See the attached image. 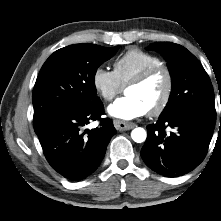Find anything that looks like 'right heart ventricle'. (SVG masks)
<instances>
[{
    "mask_svg": "<svg viewBox=\"0 0 221 221\" xmlns=\"http://www.w3.org/2000/svg\"><path fill=\"white\" fill-rule=\"evenodd\" d=\"M161 64L162 61L156 55L139 48H131L114 61L113 72L124 87L143 70Z\"/></svg>",
    "mask_w": 221,
    "mask_h": 221,
    "instance_id": "obj_1",
    "label": "right heart ventricle"
}]
</instances>
